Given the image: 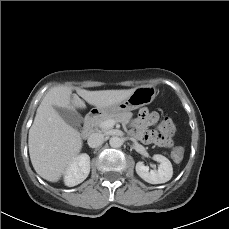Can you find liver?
Returning a JSON list of instances; mask_svg holds the SVG:
<instances>
[{"mask_svg":"<svg viewBox=\"0 0 229 229\" xmlns=\"http://www.w3.org/2000/svg\"><path fill=\"white\" fill-rule=\"evenodd\" d=\"M59 85L51 88L42 99L29 130L28 146L31 163L39 176L57 182L82 149L79 131L68 125L55 107L74 110L85 109L84 101L95 107H107L127 99L135 90L89 91Z\"/></svg>","mask_w":229,"mask_h":229,"instance_id":"6515ba94","label":"liver"}]
</instances>
